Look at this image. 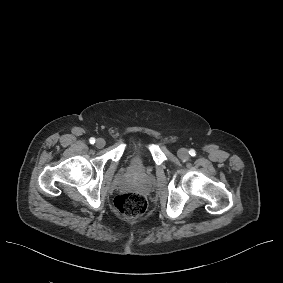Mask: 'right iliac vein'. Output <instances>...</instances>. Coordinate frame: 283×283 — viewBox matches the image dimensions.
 Masks as SVG:
<instances>
[{
	"instance_id": "1",
	"label": "right iliac vein",
	"mask_w": 283,
	"mask_h": 283,
	"mask_svg": "<svg viewBox=\"0 0 283 283\" xmlns=\"http://www.w3.org/2000/svg\"><path fill=\"white\" fill-rule=\"evenodd\" d=\"M104 146H105V140L102 139V138H98V139L96 140V147L102 148V147H104Z\"/></svg>"
}]
</instances>
